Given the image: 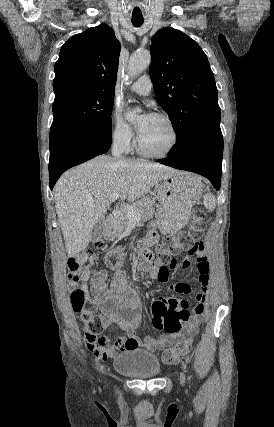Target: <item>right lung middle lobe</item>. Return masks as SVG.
<instances>
[{"label": "right lung middle lobe", "instance_id": "right-lung-middle-lobe-1", "mask_svg": "<svg viewBox=\"0 0 274 427\" xmlns=\"http://www.w3.org/2000/svg\"><path fill=\"white\" fill-rule=\"evenodd\" d=\"M114 95H67L53 103L49 147L84 133H111Z\"/></svg>", "mask_w": 274, "mask_h": 427}]
</instances>
